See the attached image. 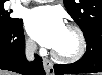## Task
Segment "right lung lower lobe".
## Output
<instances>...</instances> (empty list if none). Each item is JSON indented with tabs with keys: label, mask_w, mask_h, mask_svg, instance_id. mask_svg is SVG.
Masks as SVG:
<instances>
[{
	"label": "right lung lower lobe",
	"mask_w": 102,
	"mask_h": 75,
	"mask_svg": "<svg viewBox=\"0 0 102 75\" xmlns=\"http://www.w3.org/2000/svg\"><path fill=\"white\" fill-rule=\"evenodd\" d=\"M25 38L22 20L12 26H0V69L24 75H45L42 58L28 63L25 59Z\"/></svg>",
	"instance_id": "obj_1"
}]
</instances>
